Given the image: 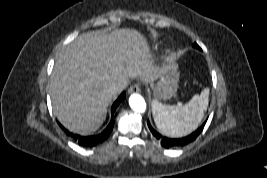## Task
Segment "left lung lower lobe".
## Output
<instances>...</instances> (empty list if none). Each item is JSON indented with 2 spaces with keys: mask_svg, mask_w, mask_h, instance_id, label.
<instances>
[{
  "mask_svg": "<svg viewBox=\"0 0 267 178\" xmlns=\"http://www.w3.org/2000/svg\"><path fill=\"white\" fill-rule=\"evenodd\" d=\"M205 123L206 122H204L195 132H193L192 134H190L186 137H183V138L164 137L161 134H159L157 131H155L149 122H148V127H149L151 133L153 134V136H155L160 141V143L163 147L173 148V147L184 146V145H187L188 143L194 141L197 138V136L202 132V130L205 126Z\"/></svg>",
  "mask_w": 267,
  "mask_h": 178,
  "instance_id": "obj_1",
  "label": "left lung lower lobe"
}]
</instances>
